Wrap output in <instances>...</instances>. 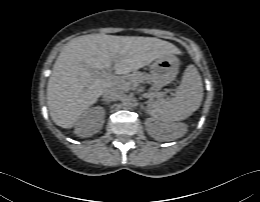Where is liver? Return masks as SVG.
Masks as SVG:
<instances>
[{"label":"liver","mask_w":260,"mask_h":202,"mask_svg":"<svg viewBox=\"0 0 260 202\" xmlns=\"http://www.w3.org/2000/svg\"><path fill=\"white\" fill-rule=\"evenodd\" d=\"M177 51L172 43L154 37L90 34L74 38L57 57L48 81L52 120L72 128L106 89L117 87L121 80L95 77L93 70L107 69L114 62L117 74H128Z\"/></svg>","instance_id":"liver-1"}]
</instances>
